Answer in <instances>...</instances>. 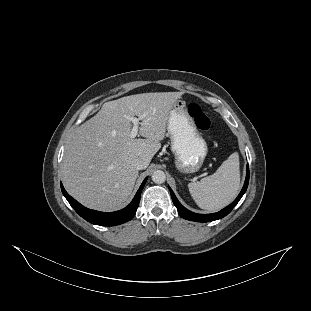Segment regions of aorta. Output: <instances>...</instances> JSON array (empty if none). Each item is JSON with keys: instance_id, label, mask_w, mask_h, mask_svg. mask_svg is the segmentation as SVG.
Masks as SVG:
<instances>
[{"instance_id": "aorta-1", "label": "aorta", "mask_w": 311, "mask_h": 311, "mask_svg": "<svg viewBox=\"0 0 311 311\" xmlns=\"http://www.w3.org/2000/svg\"><path fill=\"white\" fill-rule=\"evenodd\" d=\"M152 181L156 184H162L166 180V174L162 170H156L153 172L152 176Z\"/></svg>"}]
</instances>
